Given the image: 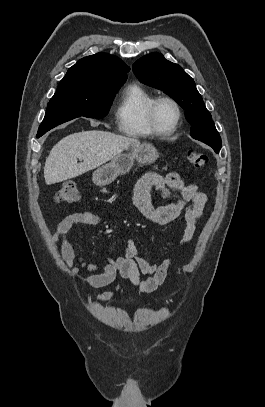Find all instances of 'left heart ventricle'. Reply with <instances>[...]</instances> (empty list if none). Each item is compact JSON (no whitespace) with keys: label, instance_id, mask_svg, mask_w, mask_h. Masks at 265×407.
Wrapping results in <instances>:
<instances>
[{"label":"left heart ventricle","instance_id":"left-heart-ventricle-1","mask_svg":"<svg viewBox=\"0 0 265 407\" xmlns=\"http://www.w3.org/2000/svg\"><path fill=\"white\" fill-rule=\"evenodd\" d=\"M176 110L172 104L163 102L159 105L157 111L158 124L162 129H169L176 121Z\"/></svg>","mask_w":265,"mask_h":407}]
</instances>
